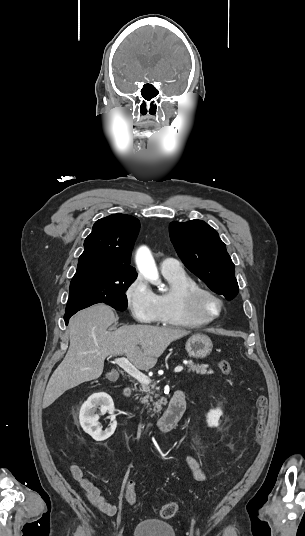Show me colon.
Listing matches in <instances>:
<instances>
[{"instance_id":"5ec220e1","label":"colon","mask_w":305,"mask_h":536,"mask_svg":"<svg viewBox=\"0 0 305 536\" xmlns=\"http://www.w3.org/2000/svg\"><path fill=\"white\" fill-rule=\"evenodd\" d=\"M219 370L223 375H230L232 372L231 363L228 359H222L218 362ZM268 410V399L266 395L260 394L256 398V425H255V438L256 442H259L265 431L266 418ZM125 500L132 506L136 507L138 505L137 492L134 486L133 481H128L125 485ZM177 503L174 501L168 502L158 509V515L162 519H170L174 516L177 510Z\"/></svg>"}]
</instances>
